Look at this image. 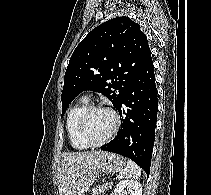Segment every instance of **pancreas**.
I'll return each instance as SVG.
<instances>
[{"label":"pancreas","instance_id":"pancreas-1","mask_svg":"<svg viewBox=\"0 0 211 195\" xmlns=\"http://www.w3.org/2000/svg\"><path fill=\"white\" fill-rule=\"evenodd\" d=\"M107 184L99 185L93 192L92 195H100L102 194L105 190H107Z\"/></svg>","mask_w":211,"mask_h":195}]
</instances>
